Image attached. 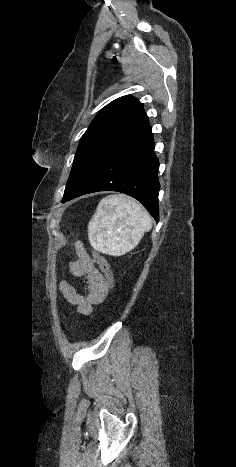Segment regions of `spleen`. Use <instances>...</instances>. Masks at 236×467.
<instances>
[{"label":"spleen","instance_id":"1","mask_svg":"<svg viewBox=\"0 0 236 467\" xmlns=\"http://www.w3.org/2000/svg\"><path fill=\"white\" fill-rule=\"evenodd\" d=\"M151 228V217L139 203L124 195H109L99 202L88 224V238L95 250L121 256Z\"/></svg>","mask_w":236,"mask_h":467}]
</instances>
